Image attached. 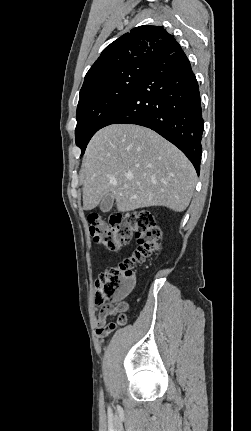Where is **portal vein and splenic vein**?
Instances as JSON below:
<instances>
[{
	"label": "portal vein and splenic vein",
	"mask_w": 251,
	"mask_h": 431,
	"mask_svg": "<svg viewBox=\"0 0 251 431\" xmlns=\"http://www.w3.org/2000/svg\"><path fill=\"white\" fill-rule=\"evenodd\" d=\"M128 179H129V180H131V179H133V177H132V176H129V177H128Z\"/></svg>",
	"instance_id": "1"
}]
</instances>
